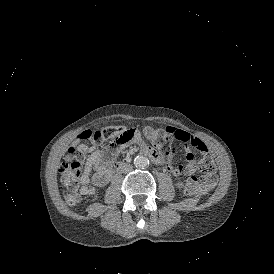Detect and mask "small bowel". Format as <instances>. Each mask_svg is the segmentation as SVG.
I'll list each match as a JSON object with an SVG mask.
<instances>
[{"instance_id": "small-bowel-1", "label": "small bowel", "mask_w": 274, "mask_h": 274, "mask_svg": "<svg viewBox=\"0 0 274 274\" xmlns=\"http://www.w3.org/2000/svg\"><path fill=\"white\" fill-rule=\"evenodd\" d=\"M166 131L171 137H174L177 141L183 143L186 148L194 147L203 153L207 151V147L202 140L182 129H175L172 124H169L166 127ZM131 142L141 148L146 147L144 140L138 135H136ZM125 146L126 145L116 147L111 145L104 150L93 152L87 158L79 182L81 194L89 196L94 195L98 188H102L109 183L116 170V159ZM197 158V153L191 151L187 155L188 162L185 166L166 164L165 169L175 176L182 173L186 176H192L196 171L194 161H196ZM160 162L159 158V163Z\"/></svg>"}]
</instances>
